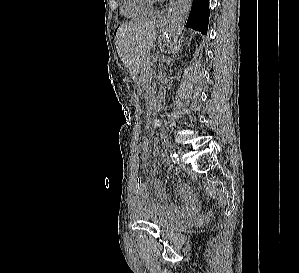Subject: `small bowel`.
Masks as SVG:
<instances>
[{
  "label": "small bowel",
  "instance_id": "small-bowel-1",
  "mask_svg": "<svg viewBox=\"0 0 299 273\" xmlns=\"http://www.w3.org/2000/svg\"><path fill=\"white\" fill-rule=\"evenodd\" d=\"M149 148L142 149L141 163L143 167L149 164ZM169 178V177H168ZM155 198L151 197L145 183L139 181L135 194V210L153 208L158 214L167 219L192 220L196 217L197 207L194 197L188 187L179 185L177 192L182 200V206L172 207L167 203V192L163 182L159 179L153 181Z\"/></svg>",
  "mask_w": 299,
  "mask_h": 273
}]
</instances>
